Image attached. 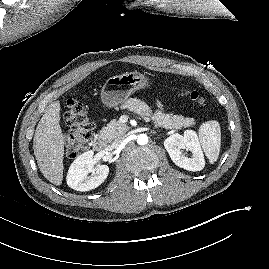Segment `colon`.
I'll use <instances>...</instances> for the list:
<instances>
[{"label": "colon", "mask_w": 269, "mask_h": 269, "mask_svg": "<svg viewBox=\"0 0 269 269\" xmlns=\"http://www.w3.org/2000/svg\"><path fill=\"white\" fill-rule=\"evenodd\" d=\"M191 102L204 105L203 97L197 91H183ZM64 120L69 127L65 140V152L68 158H75L87 147L92 136V122L87 108L76 99H69L64 111Z\"/></svg>", "instance_id": "colon-1"}]
</instances>
